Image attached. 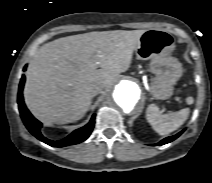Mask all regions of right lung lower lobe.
I'll return each mask as SVG.
<instances>
[{
    "label": "right lung lower lobe",
    "instance_id": "obj_1",
    "mask_svg": "<svg viewBox=\"0 0 212 183\" xmlns=\"http://www.w3.org/2000/svg\"><path fill=\"white\" fill-rule=\"evenodd\" d=\"M25 70L26 66L24 67V71ZM24 82H25V76L23 75L19 84V92H18L19 111L25 126L31 132V134H33L37 139L41 140L42 142L52 147H64L83 142L90 136L95 123V114H93L90 122L86 126L75 130L73 133H71L69 136H67L62 140L52 141L44 137L40 131L42 124L31 115V113L24 104L22 96Z\"/></svg>",
    "mask_w": 212,
    "mask_h": 183
}]
</instances>
